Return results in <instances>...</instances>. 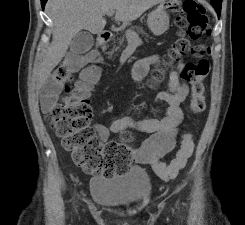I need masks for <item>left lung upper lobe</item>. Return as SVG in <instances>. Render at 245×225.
<instances>
[{"instance_id":"5c2ea615","label":"left lung upper lobe","mask_w":245,"mask_h":225,"mask_svg":"<svg viewBox=\"0 0 245 225\" xmlns=\"http://www.w3.org/2000/svg\"><path fill=\"white\" fill-rule=\"evenodd\" d=\"M210 2L217 11L218 16H220L222 0H210Z\"/></svg>"}]
</instances>
